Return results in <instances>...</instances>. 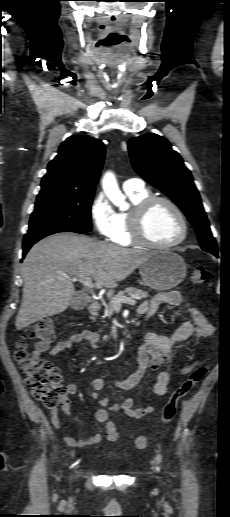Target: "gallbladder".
Masks as SVG:
<instances>
[{
  "label": "gallbladder",
  "mask_w": 230,
  "mask_h": 517,
  "mask_svg": "<svg viewBox=\"0 0 230 517\" xmlns=\"http://www.w3.org/2000/svg\"><path fill=\"white\" fill-rule=\"evenodd\" d=\"M87 304V298L81 293L77 292L71 302L70 305L73 309H81Z\"/></svg>",
  "instance_id": "1"
}]
</instances>
